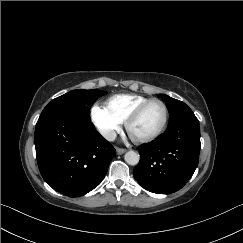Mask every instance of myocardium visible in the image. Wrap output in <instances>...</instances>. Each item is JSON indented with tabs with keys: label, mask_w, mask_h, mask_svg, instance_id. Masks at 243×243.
Returning a JSON list of instances; mask_svg holds the SVG:
<instances>
[{
	"label": "myocardium",
	"mask_w": 243,
	"mask_h": 243,
	"mask_svg": "<svg viewBox=\"0 0 243 243\" xmlns=\"http://www.w3.org/2000/svg\"><path fill=\"white\" fill-rule=\"evenodd\" d=\"M152 103H160L163 106L164 109V118H163V122L161 124V126L159 127V129L157 131H155L153 134L145 137V138H134L131 136L130 134V127L131 125L137 121L140 116L142 115V113L144 112V110ZM169 121V108L167 103L159 98H152L148 101H146L145 103L141 104L140 106H138L126 119L125 121V127H126V131L129 134V136L131 137V139L138 144H145V143H149L155 139H157L166 129L167 124Z\"/></svg>",
	"instance_id": "f54148a6"
}]
</instances>
